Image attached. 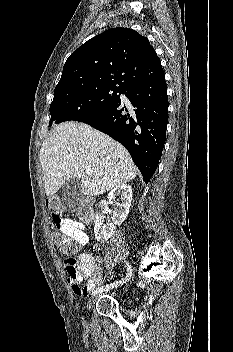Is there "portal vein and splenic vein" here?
Here are the masks:
<instances>
[{"label": "portal vein and splenic vein", "mask_w": 233, "mask_h": 352, "mask_svg": "<svg viewBox=\"0 0 233 352\" xmlns=\"http://www.w3.org/2000/svg\"><path fill=\"white\" fill-rule=\"evenodd\" d=\"M86 173H87L88 175L92 174V169H91V168H87V169H86Z\"/></svg>", "instance_id": "portal-vein-and-splenic-vein-1"}]
</instances>
